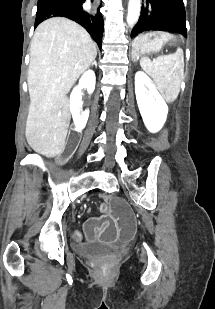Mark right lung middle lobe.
Masks as SVG:
<instances>
[{
  "label": "right lung middle lobe",
  "mask_w": 215,
  "mask_h": 309,
  "mask_svg": "<svg viewBox=\"0 0 215 309\" xmlns=\"http://www.w3.org/2000/svg\"><path fill=\"white\" fill-rule=\"evenodd\" d=\"M45 1V0H38V3ZM71 1H79V0H71Z\"/></svg>",
  "instance_id": "dd1d6c3e"
}]
</instances>
